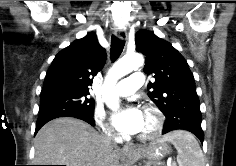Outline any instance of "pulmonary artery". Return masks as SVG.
I'll use <instances>...</instances> for the list:
<instances>
[{"mask_svg": "<svg viewBox=\"0 0 236 166\" xmlns=\"http://www.w3.org/2000/svg\"><path fill=\"white\" fill-rule=\"evenodd\" d=\"M144 84V75L141 71L133 72L129 78L121 80L116 86V94L119 97H126L133 94Z\"/></svg>", "mask_w": 236, "mask_h": 166, "instance_id": "obj_1", "label": "pulmonary artery"}]
</instances>
